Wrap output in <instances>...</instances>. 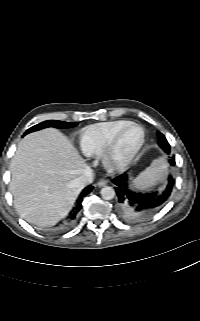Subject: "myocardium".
Segmentation results:
<instances>
[{
    "label": "myocardium",
    "mask_w": 200,
    "mask_h": 321,
    "mask_svg": "<svg viewBox=\"0 0 200 321\" xmlns=\"http://www.w3.org/2000/svg\"><path fill=\"white\" fill-rule=\"evenodd\" d=\"M131 127H138L142 131V137L140 142L125 156L118 157L117 151L119 148V144L125 132ZM146 140V132L144 127L135 122H130L123 128H121L116 135L113 137L109 145L106 147L104 152L102 153V163L105 169L111 173H120L125 171L128 166L132 163L134 158L142 149Z\"/></svg>",
    "instance_id": "f54148a6"
}]
</instances>
